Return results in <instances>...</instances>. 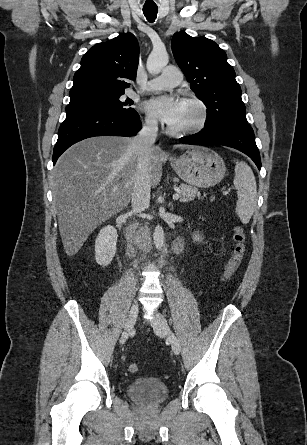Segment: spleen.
Listing matches in <instances>:
<instances>
[{
    "mask_svg": "<svg viewBox=\"0 0 307 445\" xmlns=\"http://www.w3.org/2000/svg\"><path fill=\"white\" fill-rule=\"evenodd\" d=\"M234 170L233 182L238 194L235 212L241 223L247 225L257 202V184L251 166L244 160H236Z\"/></svg>",
    "mask_w": 307,
    "mask_h": 445,
    "instance_id": "spleen-1",
    "label": "spleen"
}]
</instances>
